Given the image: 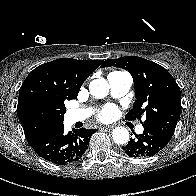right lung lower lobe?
<instances>
[{
  "instance_id": "1",
  "label": "right lung lower lobe",
  "mask_w": 196,
  "mask_h": 196,
  "mask_svg": "<svg viewBox=\"0 0 196 196\" xmlns=\"http://www.w3.org/2000/svg\"><path fill=\"white\" fill-rule=\"evenodd\" d=\"M95 129H78L73 133H64L63 124L50 130L30 143L34 151L42 158L57 165H66L78 161L89 146V140Z\"/></svg>"
}]
</instances>
